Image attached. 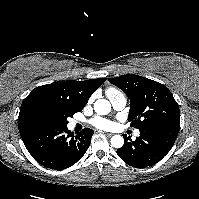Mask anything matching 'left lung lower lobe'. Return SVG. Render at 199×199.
Here are the masks:
<instances>
[{
    "label": "left lung lower lobe",
    "instance_id": "left-lung-lower-lobe-1",
    "mask_svg": "<svg viewBox=\"0 0 199 199\" xmlns=\"http://www.w3.org/2000/svg\"><path fill=\"white\" fill-rule=\"evenodd\" d=\"M179 128V121H170L140 130V136L135 141L125 135V143L117 150V154L132 167L152 166L170 151Z\"/></svg>",
    "mask_w": 199,
    "mask_h": 199
}]
</instances>
